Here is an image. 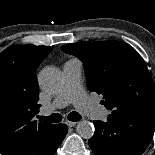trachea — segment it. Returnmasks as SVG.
<instances>
[{"instance_id":"1","label":"trachea","mask_w":155,"mask_h":155,"mask_svg":"<svg viewBox=\"0 0 155 155\" xmlns=\"http://www.w3.org/2000/svg\"><path fill=\"white\" fill-rule=\"evenodd\" d=\"M39 120L51 122V123H58L62 120V116L58 113H53L50 116H39ZM68 120L70 121H79L82 117L78 112H71L67 116Z\"/></svg>"}]
</instances>
